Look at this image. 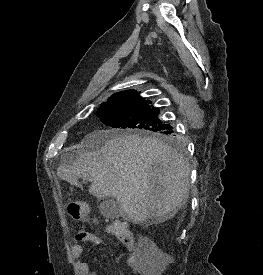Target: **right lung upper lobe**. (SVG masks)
I'll list each match as a JSON object with an SVG mask.
<instances>
[{"label":"right lung upper lobe","mask_w":263,"mask_h":275,"mask_svg":"<svg viewBox=\"0 0 263 275\" xmlns=\"http://www.w3.org/2000/svg\"><path fill=\"white\" fill-rule=\"evenodd\" d=\"M117 94H125V95H127L129 97H132V98L143 99L142 97H140L138 95V92L135 91V90H132V91L131 90H127V91L119 92Z\"/></svg>","instance_id":"right-lung-upper-lobe-1"}]
</instances>
